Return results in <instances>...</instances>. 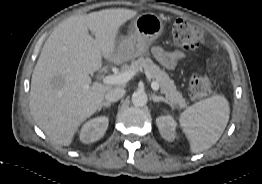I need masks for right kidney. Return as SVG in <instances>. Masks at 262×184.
<instances>
[{
	"label": "right kidney",
	"mask_w": 262,
	"mask_h": 184,
	"mask_svg": "<svg viewBox=\"0 0 262 184\" xmlns=\"http://www.w3.org/2000/svg\"><path fill=\"white\" fill-rule=\"evenodd\" d=\"M108 117L100 116L87 121L81 128L79 137L83 143L89 144L103 137L108 128Z\"/></svg>",
	"instance_id": "right-kidney-1"
}]
</instances>
